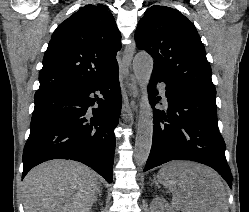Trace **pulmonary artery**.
Masks as SVG:
<instances>
[{"label":"pulmonary artery","instance_id":"pulmonary-artery-1","mask_svg":"<svg viewBox=\"0 0 249 212\" xmlns=\"http://www.w3.org/2000/svg\"><path fill=\"white\" fill-rule=\"evenodd\" d=\"M159 91H160V94H161L162 97H163L164 103H166V102H167V97H166V93H165V91H166L165 85H160V86H159Z\"/></svg>","mask_w":249,"mask_h":212}]
</instances>
